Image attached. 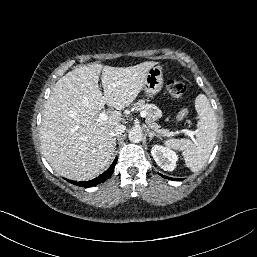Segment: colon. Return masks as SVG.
I'll use <instances>...</instances> for the list:
<instances>
[{
	"label": "colon",
	"instance_id": "5ec220e1",
	"mask_svg": "<svg viewBox=\"0 0 257 257\" xmlns=\"http://www.w3.org/2000/svg\"><path fill=\"white\" fill-rule=\"evenodd\" d=\"M167 91L171 99L178 100L184 95L186 91V86L182 81H179L176 79H170L167 82ZM187 115H188V110L184 107L179 111L178 119L184 120L187 117Z\"/></svg>",
	"mask_w": 257,
	"mask_h": 257
}]
</instances>
